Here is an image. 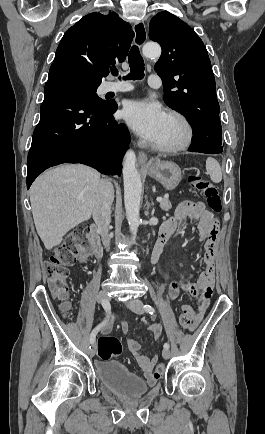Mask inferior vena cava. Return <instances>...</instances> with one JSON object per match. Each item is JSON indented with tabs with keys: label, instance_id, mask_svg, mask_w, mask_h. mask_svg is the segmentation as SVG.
I'll use <instances>...</instances> for the list:
<instances>
[{
	"label": "inferior vena cava",
	"instance_id": "602c4592",
	"mask_svg": "<svg viewBox=\"0 0 265 434\" xmlns=\"http://www.w3.org/2000/svg\"><path fill=\"white\" fill-rule=\"evenodd\" d=\"M114 200V188L108 180H100L94 208L93 220L98 226L105 248H109V224L111 222V206Z\"/></svg>",
	"mask_w": 265,
	"mask_h": 434
}]
</instances>
